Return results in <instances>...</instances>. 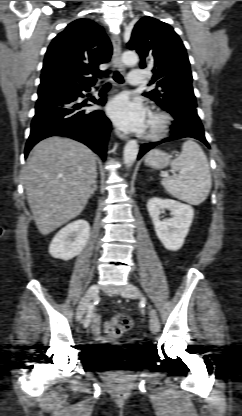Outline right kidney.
Returning <instances> with one entry per match:
<instances>
[{
  "instance_id": "1",
  "label": "right kidney",
  "mask_w": 242,
  "mask_h": 416,
  "mask_svg": "<svg viewBox=\"0 0 242 416\" xmlns=\"http://www.w3.org/2000/svg\"><path fill=\"white\" fill-rule=\"evenodd\" d=\"M89 235V223L83 219L76 220L55 235L49 246V253L54 258L70 260L80 254Z\"/></svg>"
}]
</instances>
